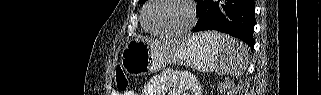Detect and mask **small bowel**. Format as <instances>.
<instances>
[{
	"mask_svg": "<svg viewBox=\"0 0 321 95\" xmlns=\"http://www.w3.org/2000/svg\"><path fill=\"white\" fill-rule=\"evenodd\" d=\"M161 93H157L155 90H154V84L153 83H150L149 85H147L145 87V90L143 92V95H160ZM124 95H136V93L134 92H127L125 93Z\"/></svg>",
	"mask_w": 321,
	"mask_h": 95,
	"instance_id": "obj_1",
	"label": "small bowel"
}]
</instances>
